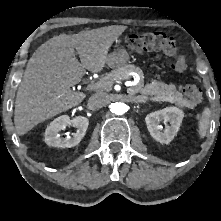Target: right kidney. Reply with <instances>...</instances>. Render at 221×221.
<instances>
[{
	"mask_svg": "<svg viewBox=\"0 0 221 221\" xmlns=\"http://www.w3.org/2000/svg\"><path fill=\"white\" fill-rule=\"evenodd\" d=\"M70 125L77 128L76 133H74L72 137H61L59 132ZM88 125L89 120L83 116H77L73 119H70L67 115L59 116L47 126L45 131V143L49 146L59 148L76 146L85 136Z\"/></svg>",
	"mask_w": 221,
	"mask_h": 221,
	"instance_id": "1",
	"label": "right kidney"
}]
</instances>
